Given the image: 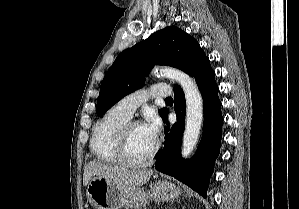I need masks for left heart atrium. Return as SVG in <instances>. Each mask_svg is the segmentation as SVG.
Listing matches in <instances>:
<instances>
[{
	"instance_id": "39dd6f15",
	"label": "left heart atrium",
	"mask_w": 299,
	"mask_h": 209,
	"mask_svg": "<svg viewBox=\"0 0 299 209\" xmlns=\"http://www.w3.org/2000/svg\"><path fill=\"white\" fill-rule=\"evenodd\" d=\"M147 136L156 143L161 130V121L155 114H150L141 125Z\"/></svg>"
}]
</instances>
